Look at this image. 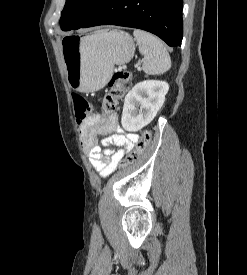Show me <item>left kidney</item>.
<instances>
[{"label":"left kidney","instance_id":"5707ae66","mask_svg":"<svg viewBox=\"0 0 247 275\" xmlns=\"http://www.w3.org/2000/svg\"><path fill=\"white\" fill-rule=\"evenodd\" d=\"M169 85L165 81L145 80L137 83L125 97L121 117L126 131L136 132L148 125L163 106Z\"/></svg>","mask_w":247,"mask_h":275}]
</instances>
